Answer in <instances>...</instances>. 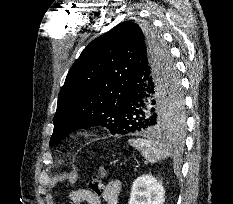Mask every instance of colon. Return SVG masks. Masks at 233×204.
Returning <instances> with one entry per match:
<instances>
[{
    "mask_svg": "<svg viewBox=\"0 0 233 204\" xmlns=\"http://www.w3.org/2000/svg\"><path fill=\"white\" fill-rule=\"evenodd\" d=\"M109 177V167L107 165H101L92 174L88 189H86L89 196L92 198H99L103 192L104 182ZM83 200V194L79 190H74L70 193V201L72 204H81Z\"/></svg>",
    "mask_w": 233,
    "mask_h": 204,
    "instance_id": "5ec220e1",
    "label": "colon"
}]
</instances>
